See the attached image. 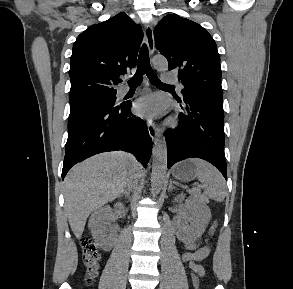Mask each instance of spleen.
Wrapping results in <instances>:
<instances>
[{
    "label": "spleen",
    "mask_w": 293,
    "mask_h": 289,
    "mask_svg": "<svg viewBox=\"0 0 293 289\" xmlns=\"http://www.w3.org/2000/svg\"><path fill=\"white\" fill-rule=\"evenodd\" d=\"M198 180L206 187L205 194L216 201L224 200L227 194L226 183L221 173L210 163L201 159H192Z\"/></svg>",
    "instance_id": "obj_1"
}]
</instances>
